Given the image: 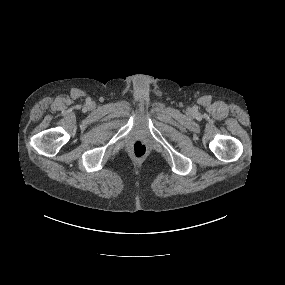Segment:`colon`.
Wrapping results in <instances>:
<instances>
[{
  "label": "colon",
  "mask_w": 285,
  "mask_h": 285,
  "mask_svg": "<svg viewBox=\"0 0 285 285\" xmlns=\"http://www.w3.org/2000/svg\"><path fill=\"white\" fill-rule=\"evenodd\" d=\"M132 152L136 157H142L147 153V146L141 141H135L132 145Z\"/></svg>",
  "instance_id": "1"
}]
</instances>
